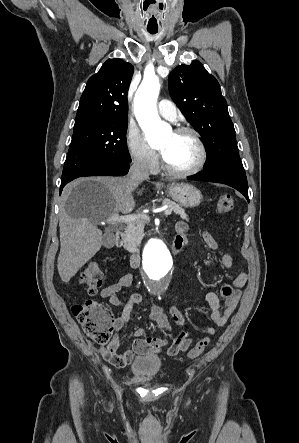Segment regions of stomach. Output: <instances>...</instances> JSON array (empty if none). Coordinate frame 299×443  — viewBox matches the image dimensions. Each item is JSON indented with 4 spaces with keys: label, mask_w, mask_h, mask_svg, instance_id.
I'll return each mask as SVG.
<instances>
[{
    "label": "stomach",
    "mask_w": 299,
    "mask_h": 443,
    "mask_svg": "<svg viewBox=\"0 0 299 443\" xmlns=\"http://www.w3.org/2000/svg\"><path fill=\"white\" fill-rule=\"evenodd\" d=\"M169 196L184 207H196L202 201L201 192L190 184H170L167 186Z\"/></svg>",
    "instance_id": "stomach-1"
}]
</instances>
